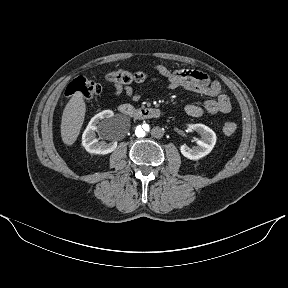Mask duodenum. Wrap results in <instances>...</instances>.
<instances>
[{
    "mask_svg": "<svg viewBox=\"0 0 288 288\" xmlns=\"http://www.w3.org/2000/svg\"><path fill=\"white\" fill-rule=\"evenodd\" d=\"M119 111L122 115L137 120L158 119L163 116V112L159 108L144 107L136 109L130 104L121 105Z\"/></svg>",
    "mask_w": 288,
    "mask_h": 288,
    "instance_id": "obj_1",
    "label": "duodenum"
}]
</instances>
